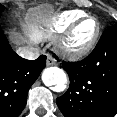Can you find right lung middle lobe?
I'll use <instances>...</instances> for the list:
<instances>
[{"mask_svg":"<svg viewBox=\"0 0 117 117\" xmlns=\"http://www.w3.org/2000/svg\"><path fill=\"white\" fill-rule=\"evenodd\" d=\"M4 10V6L0 4V13Z\"/></svg>","mask_w":117,"mask_h":117,"instance_id":"dd1d6c3e","label":"right lung middle lobe"}]
</instances>
